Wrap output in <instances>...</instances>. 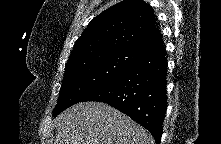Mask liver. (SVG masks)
<instances>
[{
	"mask_svg": "<svg viewBox=\"0 0 221 144\" xmlns=\"http://www.w3.org/2000/svg\"><path fill=\"white\" fill-rule=\"evenodd\" d=\"M55 144H154L139 124L110 105L81 102L58 115Z\"/></svg>",
	"mask_w": 221,
	"mask_h": 144,
	"instance_id": "liver-1",
	"label": "liver"
}]
</instances>
